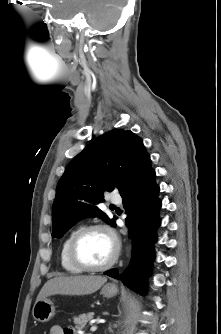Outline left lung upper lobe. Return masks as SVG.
Instances as JSON below:
<instances>
[{"label": "left lung upper lobe", "instance_id": "1", "mask_svg": "<svg viewBox=\"0 0 221 334\" xmlns=\"http://www.w3.org/2000/svg\"><path fill=\"white\" fill-rule=\"evenodd\" d=\"M142 139L130 130L106 132L90 143L66 167L53 202L52 237L60 238L77 221L99 216L114 224L96 205L104 191L120 194L150 162Z\"/></svg>", "mask_w": 221, "mask_h": 334}]
</instances>
